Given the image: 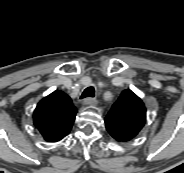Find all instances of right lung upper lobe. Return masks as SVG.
I'll list each match as a JSON object with an SVG mask.
<instances>
[{
	"instance_id": "1",
	"label": "right lung upper lobe",
	"mask_w": 184,
	"mask_h": 173,
	"mask_svg": "<svg viewBox=\"0 0 184 173\" xmlns=\"http://www.w3.org/2000/svg\"><path fill=\"white\" fill-rule=\"evenodd\" d=\"M77 110L63 91H54L37 105L33 121L48 142H58L70 132Z\"/></svg>"
}]
</instances>
